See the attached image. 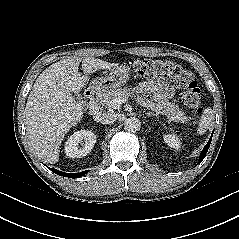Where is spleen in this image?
Returning a JSON list of instances; mask_svg holds the SVG:
<instances>
[{
  "label": "spleen",
  "instance_id": "1",
  "mask_svg": "<svg viewBox=\"0 0 239 239\" xmlns=\"http://www.w3.org/2000/svg\"><path fill=\"white\" fill-rule=\"evenodd\" d=\"M212 120H213V110L211 108L205 109L198 125V133L204 134L209 128Z\"/></svg>",
  "mask_w": 239,
  "mask_h": 239
}]
</instances>
